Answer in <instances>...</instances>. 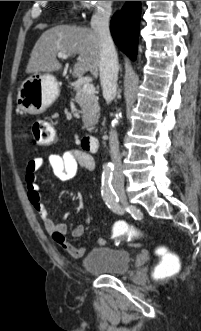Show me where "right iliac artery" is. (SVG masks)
Returning <instances> with one entry per match:
<instances>
[{"label": "right iliac artery", "mask_w": 201, "mask_h": 331, "mask_svg": "<svg viewBox=\"0 0 201 331\" xmlns=\"http://www.w3.org/2000/svg\"><path fill=\"white\" fill-rule=\"evenodd\" d=\"M112 172H113L112 166L104 167L102 174L101 194L106 205L113 212L117 214H123L124 210L119 205V198L111 185Z\"/></svg>", "instance_id": "82829eb1"}]
</instances>
